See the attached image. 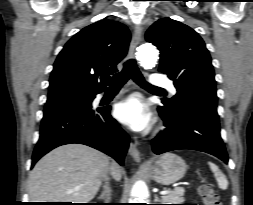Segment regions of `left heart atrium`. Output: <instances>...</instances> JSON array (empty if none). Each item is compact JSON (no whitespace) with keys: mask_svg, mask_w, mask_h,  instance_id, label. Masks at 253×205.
I'll use <instances>...</instances> for the list:
<instances>
[{"mask_svg":"<svg viewBox=\"0 0 253 205\" xmlns=\"http://www.w3.org/2000/svg\"><path fill=\"white\" fill-rule=\"evenodd\" d=\"M115 116L135 131L146 129L152 120V114L139 95H131L115 108Z\"/></svg>","mask_w":253,"mask_h":205,"instance_id":"39dd6f15","label":"left heart atrium"}]
</instances>
